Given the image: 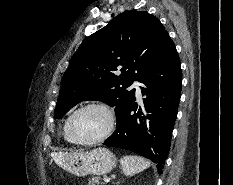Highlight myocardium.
Masks as SVG:
<instances>
[{
	"label": "myocardium",
	"mask_w": 233,
	"mask_h": 185,
	"mask_svg": "<svg viewBox=\"0 0 233 185\" xmlns=\"http://www.w3.org/2000/svg\"><path fill=\"white\" fill-rule=\"evenodd\" d=\"M90 108H97V109H101L102 111H104L108 116L109 123H108L106 130L101 135L95 138H92V139H88V140H80L76 138L72 132V129H71L72 120L76 114H78L79 112L85 109H90ZM115 126H116L115 115L108 105L101 103V102H90V103L80 106L79 108L74 110L69 115L66 121V132H67L68 137L73 143H76L79 145H93V144L100 143L106 140L107 138H109L114 132Z\"/></svg>",
	"instance_id": "f54148a6"
}]
</instances>
